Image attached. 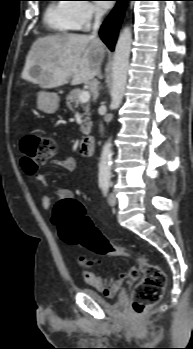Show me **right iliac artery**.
<instances>
[{
  "mask_svg": "<svg viewBox=\"0 0 193 349\" xmlns=\"http://www.w3.org/2000/svg\"><path fill=\"white\" fill-rule=\"evenodd\" d=\"M104 183L100 184L101 187H103Z\"/></svg>",
  "mask_w": 193,
  "mask_h": 349,
  "instance_id": "obj_1",
  "label": "right iliac artery"
}]
</instances>
